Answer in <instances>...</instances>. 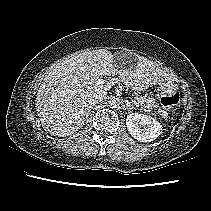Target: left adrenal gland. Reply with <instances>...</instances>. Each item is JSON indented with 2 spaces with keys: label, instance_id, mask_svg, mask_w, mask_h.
I'll return each mask as SVG.
<instances>
[{
  "label": "left adrenal gland",
  "instance_id": "obj_1",
  "mask_svg": "<svg viewBox=\"0 0 211 211\" xmlns=\"http://www.w3.org/2000/svg\"><path fill=\"white\" fill-rule=\"evenodd\" d=\"M126 109H127L128 111L136 110V108H135L134 106L130 105V104H126Z\"/></svg>",
  "mask_w": 211,
  "mask_h": 211
}]
</instances>
